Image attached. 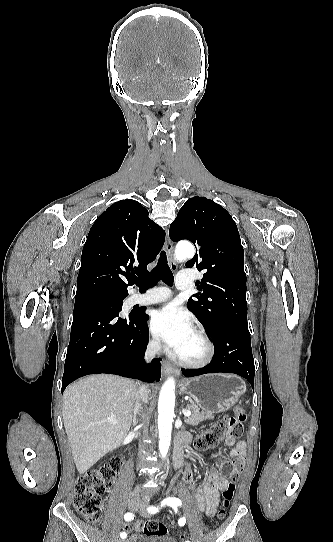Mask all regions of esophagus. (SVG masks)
I'll return each mask as SVG.
<instances>
[{
  "mask_svg": "<svg viewBox=\"0 0 333 542\" xmlns=\"http://www.w3.org/2000/svg\"><path fill=\"white\" fill-rule=\"evenodd\" d=\"M165 248H166V253H167L169 265H170L171 269L173 271H175V270H177V263L173 258V243H172V241H171L168 234L166 235ZM162 370H163V373H164L165 376H167L169 374H175V375L180 374V370L173 367L169 362H167L165 360L162 362Z\"/></svg>",
  "mask_w": 333,
  "mask_h": 542,
  "instance_id": "obj_1",
  "label": "esophagus"
}]
</instances>
